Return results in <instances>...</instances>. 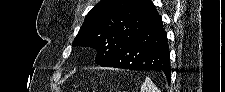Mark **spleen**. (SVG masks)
Masks as SVG:
<instances>
[{
    "mask_svg": "<svg viewBox=\"0 0 225 92\" xmlns=\"http://www.w3.org/2000/svg\"><path fill=\"white\" fill-rule=\"evenodd\" d=\"M141 92H160V90L149 77H146L144 83L141 86Z\"/></svg>",
    "mask_w": 225,
    "mask_h": 92,
    "instance_id": "1",
    "label": "spleen"
}]
</instances>
